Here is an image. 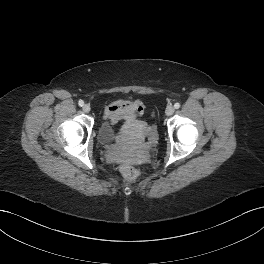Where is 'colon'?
Listing matches in <instances>:
<instances>
[{"label":"colon","mask_w":264,"mask_h":264,"mask_svg":"<svg viewBox=\"0 0 264 264\" xmlns=\"http://www.w3.org/2000/svg\"><path fill=\"white\" fill-rule=\"evenodd\" d=\"M119 170L121 174L124 176V178H126L129 181H134L139 175L138 169L128 163L121 164Z\"/></svg>","instance_id":"obj_1"}]
</instances>
